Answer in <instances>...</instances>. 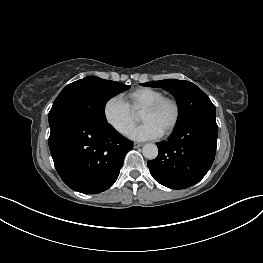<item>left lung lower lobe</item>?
Returning <instances> with one entry per match:
<instances>
[{
    "label": "left lung lower lobe",
    "mask_w": 263,
    "mask_h": 263,
    "mask_svg": "<svg viewBox=\"0 0 263 263\" xmlns=\"http://www.w3.org/2000/svg\"><path fill=\"white\" fill-rule=\"evenodd\" d=\"M217 135L215 116L177 126L168 141L157 144V158L147 162L151 175L158 183L171 189H184L196 184L214 161Z\"/></svg>",
    "instance_id": "0a47b994"
}]
</instances>
